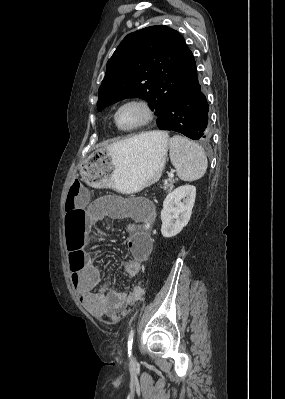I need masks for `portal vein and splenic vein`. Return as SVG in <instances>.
Returning <instances> with one entry per match:
<instances>
[{
    "label": "portal vein and splenic vein",
    "instance_id": "obj_1",
    "mask_svg": "<svg viewBox=\"0 0 285 399\" xmlns=\"http://www.w3.org/2000/svg\"><path fill=\"white\" fill-rule=\"evenodd\" d=\"M168 177H170V178L174 177V170H172V171L168 174Z\"/></svg>",
    "mask_w": 285,
    "mask_h": 399
}]
</instances>
